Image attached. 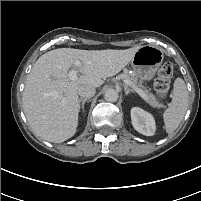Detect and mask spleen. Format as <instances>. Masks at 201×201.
<instances>
[{"label": "spleen", "instance_id": "obj_1", "mask_svg": "<svg viewBox=\"0 0 201 201\" xmlns=\"http://www.w3.org/2000/svg\"><path fill=\"white\" fill-rule=\"evenodd\" d=\"M187 106L188 91L185 82L177 78L174 82L171 105L163 113L165 130L168 134H172L177 129L183 120Z\"/></svg>", "mask_w": 201, "mask_h": 201}]
</instances>
